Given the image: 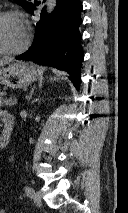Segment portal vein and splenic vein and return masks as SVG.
<instances>
[{"mask_svg":"<svg viewBox=\"0 0 128 213\" xmlns=\"http://www.w3.org/2000/svg\"><path fill=\"white\" fill-rule=\"evenodd\" d=\"M17 102V100H14V102L12 104H15Z\"/></svg>","mask_w":128,"mask_h":213,"instance_id":"obj_1","label":"portal vein and splenic vein"}]
</instances>
